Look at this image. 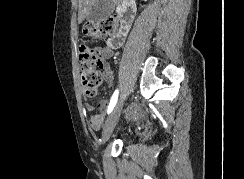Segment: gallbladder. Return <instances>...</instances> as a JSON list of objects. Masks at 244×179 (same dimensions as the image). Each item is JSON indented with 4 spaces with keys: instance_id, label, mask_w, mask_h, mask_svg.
<instances>
[{
    "instance_id": "1",
    "label": "gallbladder",
    "mask_w": 244,
    "mask_h": 179,
    "mask_svg": "<svg viewBox=\"0 0 244 179\" xmlns=\"http://www.w3.org/2000/svg\"><path fill=\"white\" fill-rule=\"evenodd\" d=\"M113 10L112 0H95L87 18L89 22H100V20H106Z\"/></svg>"
}]
</instances>
